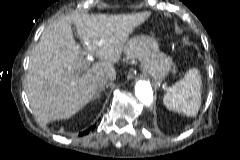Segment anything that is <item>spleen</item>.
Listing matches in <instances>:
<instances>
[{
    "instance_id": "3e777b00",
    "label": "spleen",
    "mask_w": 240,
    "mask_h": 160,
    "mask_svg": "<svg viewBox=\"0 0 240 160\" xmlns=\"http://www.w3.org/2000/svg\"><path fill=\"white\" fill-rule=\"evenodd\" d=\"M165 106L187 116H195L201 104V76L196 69L186 72L163 98Z\"/></svg>"
}]
</instances>
